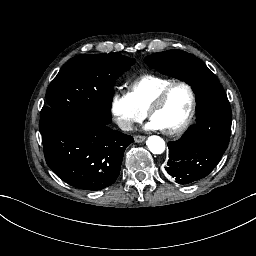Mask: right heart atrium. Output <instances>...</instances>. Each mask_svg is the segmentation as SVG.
<instances>
[{
  "label": "right heart atrium",
  "instance_id": "d8ad5b80",
  "mask_svg": "<svg viewBox=\"0 0 256 256\" xmlns=\"http://www.w3.org/2000/svg\"><path fill=\"white\" fill-rule=\"evenodd\" d=\"M119 98V97H118ZM131 98V95L127 94L124 96V98H122L121 100H128ZM120 101V100H118ZM114 116L116 117L114 111H113ZM143 112L141 110H136L133 111L130 116L126 119L127 123H138L141 122L143 119Z\"/></svg>",
  "mask_w": 256,
  "mask_h": 256
}]
</instances>
